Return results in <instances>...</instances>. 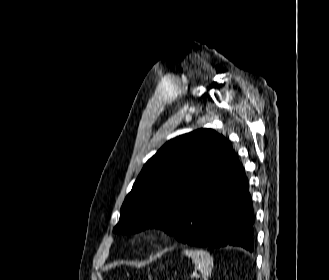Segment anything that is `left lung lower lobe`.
Listing matches in <instances>:
<instances>
[{
    "label": "left lung lower lobe",
    "mask_w": 329,
    "mask_h": 280,
    "mask_svg": "<svg viewBox=\"0 0 329 280\" xmlns=\"http://www.w3.org/2000/svg\"><path fill=\"white\" fill-rule=\"evenodd\" d=\"M253 225L248 182L235 157L223 175L220 189L205 195L192 215L167 233L192 246H238L252 252Z\"/></svg>",
    "instance_id": "left-lung-lower-lobe-1"
}]
</instances>
